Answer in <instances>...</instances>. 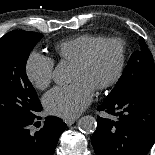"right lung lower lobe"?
Wrapping results in <instances>:
<instances>
[{
  "label": "right lung lower lobe",
  "mask_w": 155,
  "mask_h": 155,
  "mask_svg": "<svg viewBox=\"0 0 155 155\" xmlns=\"http://www.w3.org/2000/svg\"><path fill=\"white\" fill-rule=\"evenodd\" d=\"M35 118L18 124H0V155H53L67 126L61 119L49 116L44 126L33 134L29 128Z\"/></svg>",
  "instance_id": "1"
}]
</instances>
